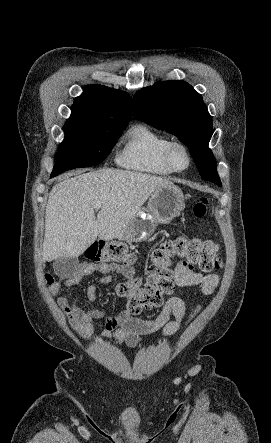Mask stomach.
I'll list each match as a JSON object with an SVG mask.
<instances>
[{
  "label": "stomach",
  "mask_w": 271,
  "mask_h": 443,
  "mask_svg": "<svg viewBox=\"0 0 271 443\" xmlns=\"http://www.w3.org/2000/svg\"><path fill=\"white\" fill-rule=\"evenodd\" d=\"M184 208V196L178 186H163L153 192L146 210H142L128 223L118 239L145 241L154 233L158 223H170L180 216Z\"/></svg>",
  "instance_id": "stomach-1"
}]
</instances>
